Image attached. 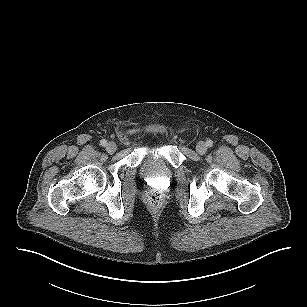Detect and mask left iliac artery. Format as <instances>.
<instances>
[{
  "instance_id": "obj_1",
  "label": "left iliac artery",
  "mask_w": 307,
  "mask_h": 307,
  "mask_svg": "<svg viewBox=\"0 0 307 307\" xmlns=\"http://www.w3.org/2000/svg\"><path fill=\"white\" fill-rule=\"evenodd\" d=\"M206 144L208 147H212L213 146V141L212 140H207Z\"/></svg>"
}]
</instances>
